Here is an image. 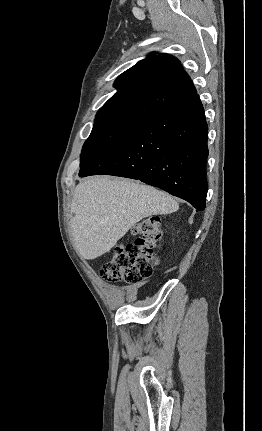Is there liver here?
I'll return each instance as SVG.
<instances>
[{
    "instance_id": "obj_1",
    "label": "liver",
    "mask_w": 262,
    "mask_h": 431,
    "mask_svg": "<svg viewBox=\"0 0 262 431\" xmlns=\"http://www.w3.org/2000/svg\"><path fill=\"white\" fill-rule=\"evenodd\" d=\"M169 194L128 179L97 176L79 183L71 202L70 226L79 256L92 260L107 252L143 218L177 211Z\"/></svg>"
}]
</instances>
